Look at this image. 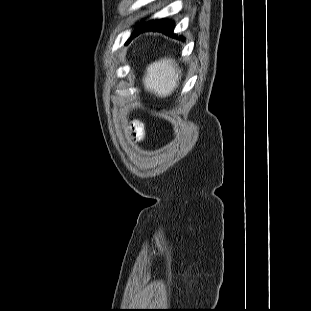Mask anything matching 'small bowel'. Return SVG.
<instances>
[{
	"label": "small bowel",
	"instance_id": "1",
	"mask_svg": "<svg viewBox=\"0 0 311 311\" xmlns=\"http://www.w3.org/2000/svg\"><path fill=\"white\" fill-rule=\"evenodd\" d=\"M131 136L134 140L140 141L143 138L144 135V126L140 122H133L131 125Z\"/></svg>",
	"mask_w": 311,
	"mask_h": 311
}]
</instances>
